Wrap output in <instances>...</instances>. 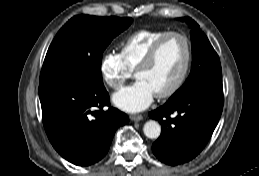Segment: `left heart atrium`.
<instances>
[{"label": "left heart atrium", "instance_id": "obj_1", "mask_svg": "<svg viewBox=\"0 0 259 176\" xmlns=\"http://www.w3.org/2000/svg\"><path fill=\"white\" fill-rule=\"evenodd\" d=\"M155 96V92L146 82L137 80L131 86L116 92L112 100L118 108L135 113L146 109L153 102Z\"/></svg>", "mask_w": 259, "mask_h": 176}]
</instances>
